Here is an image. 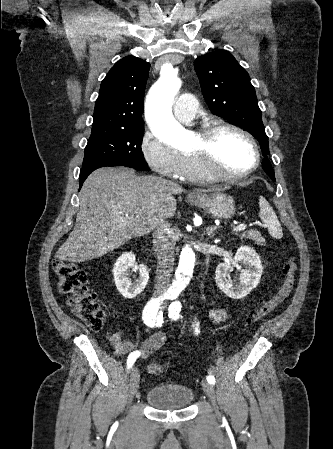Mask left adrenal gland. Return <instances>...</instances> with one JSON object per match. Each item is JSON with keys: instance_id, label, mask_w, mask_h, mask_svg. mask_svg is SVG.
<instances>
[{"instance_id": "left-adrenal-gland-1", "label": "left adrenal gland", "mask_w": 333, "mask_h": 449, "mask_svg": "<svg viewBox=\"0 0 333 449\" xmlns=\"http://www.w3.org/2000/svg\"><path fill=\"white\" fill-rule=\"evenodd\" d=\"M217 229V227H208L207 228V234L210 238H212L214 236L215 230Z\"/></svg>"}]
</instances>
